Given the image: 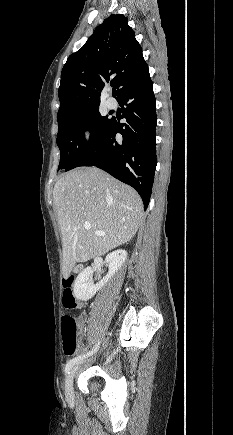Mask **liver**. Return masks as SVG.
<instances>
[{
  "mask_svg": "<svg viewBox=\"0 0 233 435\" xmlns=\"http://www.w3.org/2000/svg\"><path fill=\"white\" fill-rule=\"evenodd\" d=\"M53 204L62 237L64 278L77 262H87L130 241L143 214L139 194L96 167L76 168L63 175L54 186ZM86 221L89 229L84 227Z\"/></svg>",
  "mask_w": 233,
  "mask_h": 435,
  "instance_id": "6515ba94",
  "label": "liver"
}]
</instances>
